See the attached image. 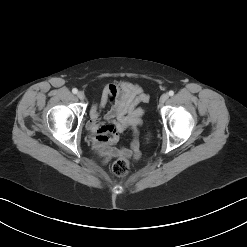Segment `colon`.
<instances>
[{
	"instance_id": "colon-1",
	"label": "colon",
	"mask_w": 247,
	"mask_h": 247,
	"mask_svg": "<svg viewBox=\"0 0 247 247\" xmlns=\"http://www.w3.org/2000/svg\"><path fill=\"white\" fill-rule=\"evenodd\" d=\"M130 168V163L126 158L116 160L112 165V171L116 176H125Z\"/></svg>"
}]
</instances>
